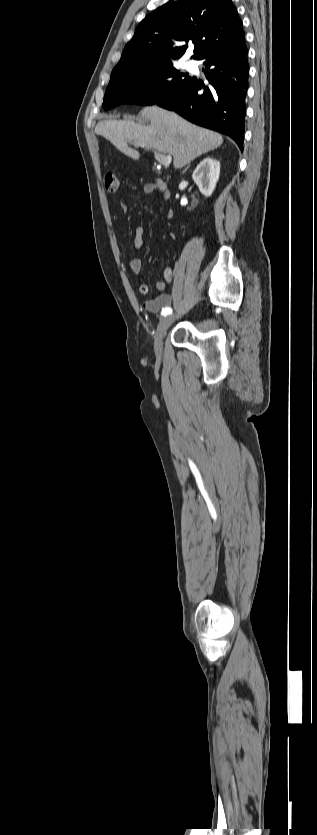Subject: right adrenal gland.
<instances>
[{"label": "right adrenal gland", "instance_id": "1", "mask_svg": "<svg viewBox=\"0 0 317 835\" xmlns=\"http://www.w3.org/2000/svg\"><path fill=\"white\" fill-rule=\"evenodd\" d=\"M188 168H189V165L185 168V170L183 172H185Z\"/></svg>", "mask_w": 317, "mask_h": 835}]
</instances>
